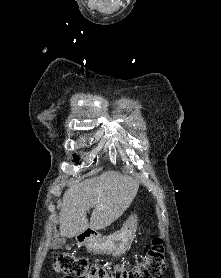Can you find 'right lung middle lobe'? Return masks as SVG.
Masks as SVG:
<instances>
[{
	"instance_id": "right-lung-middle-lobe-1",
	"label": "right lung middle lobe",
	"mask_w": 221,
	"mask_h": 278,
	"mask_svg": "<svg viewBox=\"0 0 221 278\" xmlns=\"http://www.w3.org/2000/svg\"><path fill=\"white\" fill-rule=\"evenodd\" d=\"M74 159H75V161H77V160H79V157L75 156V158H74Z\"/></svg>"
}]
</instances>
